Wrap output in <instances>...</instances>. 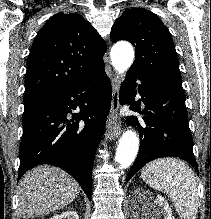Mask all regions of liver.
Returning <instances> with one entry per match:
<instances>
[{"label":"liver","mask_w":211,"mask_h":219,"mask_svg":"<svg viewBox=\"0 0 211 219\" xmlns=\"http://www.w3.org/2000/svg\"><path fill=\"white\" fill-rule=\"evenodd\" d=\"M79 193V184L68 173L40 165L19 182V213L26 219L43 216L69 205Z\"/></svg>","instance_id":"1"}]
</instances>
